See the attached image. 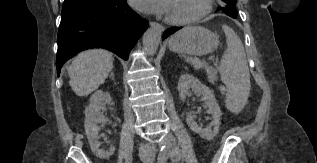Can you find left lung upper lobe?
<instances>
[{
	"label": "left lung upper lobe",
	"mask_w": 317,
	"mask_h": 163,
	"mask_svg": "<svg viewBox=\"0 0 317 163\" xmlns=\"http://www.w3.org/2000/svg\"><path fill=\"white\" fill-rule=\"evenodd\" d=\"M226 3L225 7H219V9H221L225 14L236 18L237 16V11L235 8L236 5V0H222Z\"/></svg>",
	"instance_id": "1"
}]
</instances>
